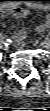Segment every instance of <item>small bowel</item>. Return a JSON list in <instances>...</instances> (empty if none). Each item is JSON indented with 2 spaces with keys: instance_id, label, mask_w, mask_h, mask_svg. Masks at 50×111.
I'll return each mask as SVG.
<instances>
[{
  "instance_id": "obj_1",
  "label": "small bowel",
  "mask_w": 50,
  "mask_h": 111,
  "mask_svg": "<svg viewBox=\"0 0 50 111\" xmlns=\"http://www.w3.org/2000/svg\"><path fill=\"white\" fill-rule=\"evenodd\" d=\"M34 8L46 9L47 6L34 5ZM2 13H7V14H10V15H13L14 17L24 18V17L28 16L29 10L27 8H22V7H19V6H11V7L3 6ZM49 26H50V17L48 16V17H46V19L44 21H42L40 24H38L36 30L38 32H43ZM25 35H26V30L25 29H20V30L16 31L13 34L14 42L18 45L21 44L20 42L24 39Z\"/></svg>"
}]
</instances>
